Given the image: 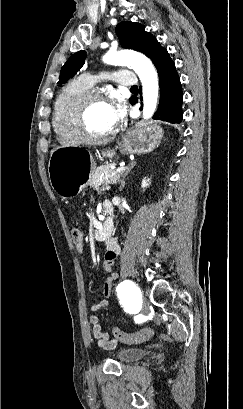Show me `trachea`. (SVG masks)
<instances>
[{"label":"trachea","instance_id":"3493384b","mask_svg":"<svg viewBox=\"0 0 243 409\" xmlns=\"http://www.w3.org/2000/svg\"><path fill=\"white\" fill-rule=\"evenodd\" d=\"M131 89H137V86H133V87H131Z\"/></svg>","mask_w":243,"mask_h":409}]
</instances>
